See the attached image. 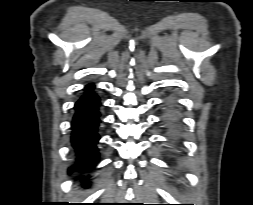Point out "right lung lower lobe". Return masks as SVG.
<instances>
[{
  "mask_svg": "<svg viewBox=\"0 0 253 205\" xmlns=\"http://www.w3.org/2000/svg\"><path fill=\"white\" fill-rule=\"evenodd\" d=\"M94 88V84H88L84 95L75 104L71 140L77 154V163L69 169L70 172L74 169L87 170L95 165L99 158L96 144L100 138L97 134L100 98L93 92ZM88 186V183L83 184L84 188Z\"/></svg>",
  "mask_w": 253,
  "mask_h": 205,
  "instance_id": "obj_1",
  "label": "right lung lower lobe"
}]
</instances>
